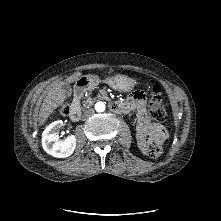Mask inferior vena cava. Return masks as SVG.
<instances>
[{
	"mask_svg": "<svg viewBox=\"0 0 221 221\" xmlns=\"http://www.w3.org/2000/svg\"><path fill=\"white\" fill-rule=\"evenodd\" d=\"M93 114H94V109H92V108L88 109L84 112L83 118H88V117L92 116Z\"/></svg>",
	"mask_w": 221,
	"mask_h": 221,
	"instance_id": "obj_1",
	"label": "inferior vena cava"
}]
</instances>
